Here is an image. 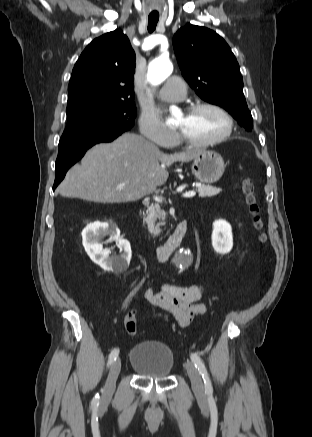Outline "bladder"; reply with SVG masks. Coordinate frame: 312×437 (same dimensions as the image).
<instances>
[{"mask_svg": "<svg viewBox=\"0 0 312 437\" xmlns=\"http://www.w3.org/2000/svg\"><path fill=\"white\" fill-rule=\"evenodd\" d=\"M129 364L131 369L142 377L165 379L173 371L174 354L163 342L144 341L131 348Z\"/></svg>", "mask_w": 312, "mask_h": 437, "instance_id": "obj_1", "label": "bladder"}]
</instances>
